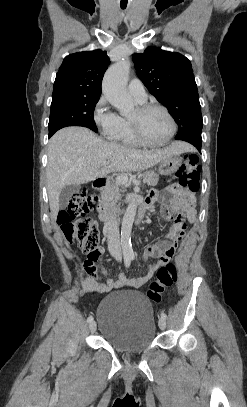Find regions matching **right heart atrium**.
<instances>
[{
  "label": "right heart atrium",
  "instance_id": "obj_1",
  "mask_svg": "<svg viewBox=\"0 0 247 407\" xmlns=\"http://www.w3.org/2000/svg\"><path fill=\"white\" fill-rule=\"evenodd\" d=\"M93 121L103 136L113 139L120 126L121 117L110 109L107 98L102 95L93 108Z\"/></svg>",
  "mask_w": 247,
  "mask_h": 407
}]
</instances>
